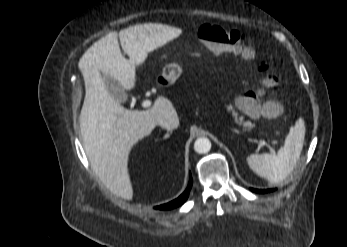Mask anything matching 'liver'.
I'll return each mask as SVG.
<instances>
[{"mask_svg":"<svg viewBox=\"0 0 347 247\" xmlns=\"http://www.w3.org/2000/svg\"><path fill=\"white\" fill-rule=\"evenodd\" d=\"M178 28L148 23L116 31L95 42L81 57L79 68L85 82V99L80 113L84 149L91 167L116 195L131 200L133 187L128 173V156L134 144L151 134L158 119L177 112L165 97L143 111L122 107L107 91L100 72L117 80L124 90H132L136 67L143 64L148 52L177 37ZM129 56L126 59L120 50Z\"/></svg>","mask_w":347,"mask_h":247,"instance_id":"obj_1","label":"liver"}]
</instances>
